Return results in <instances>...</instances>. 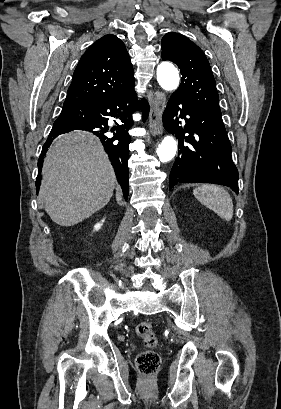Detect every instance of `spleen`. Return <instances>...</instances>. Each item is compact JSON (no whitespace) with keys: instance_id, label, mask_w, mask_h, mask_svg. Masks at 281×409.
Returning a JSON list of instances; mask_svg holds the SVG:
<instances>
[{"instance_id":"obj_1","label":"spleen","mask_w":281,"mask_h":409,"mask_svg":"<svg viewBox=\"0 0 281 409\" xmlns=\"http://www.w3.org/2000/svg\"><path fill=\"white\" fill-rule=\"evenodd\" d=\"M193 194L202 202V205L214 211L218 217L225 219V221H231L233 202L227 190L217 186V184H202V186L194 188Z\"/></svg>"}]
</instances>
